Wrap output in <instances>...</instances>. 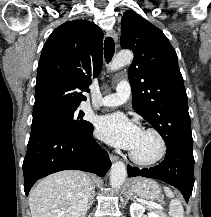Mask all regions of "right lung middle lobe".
<instances>
[{
  "instance_id": "obj_1",
  "label": "right lung middle lobe",
  "mask_w": 211,
  "mask_h": 217,
  "mask_svg": "<svg viewBox=\"0 0 211 217\" xmlns=\"http://www.w3.org/2000/svg\"><path fill=\"white\" fill-rule=\"evenodd\" d=\"M77 109L55 111L34 118L31 131L57 130L77 138H83L91 131L92 124L83 120L84 113Z\"/></svg>"
}]
</instances>
